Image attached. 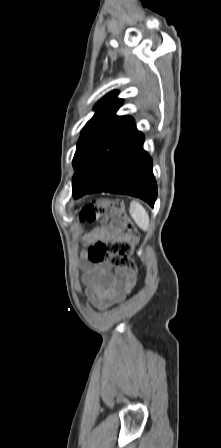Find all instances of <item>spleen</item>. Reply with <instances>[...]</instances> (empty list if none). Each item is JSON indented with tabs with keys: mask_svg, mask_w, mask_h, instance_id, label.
I'll list each match as a JSON object with an SVG mask.
<instances>
[{
	"mask_svg": "<svg viewBox=\"0 0 221 448\" xmlns=\"http://www.w3.org/2000/svg\"><path fill=\"white\" fill-rule=\"evenodd\" d=\"M131 217L135 223L143 230L147 231L149 228V215L146 209L137 201L130 203L129 209Z\"/></svg>",
	"mask_w": 221,
	"mask_h": 448,
	"instance_id": "obj_1",
	"label": "spleen"
}]
</instances>
